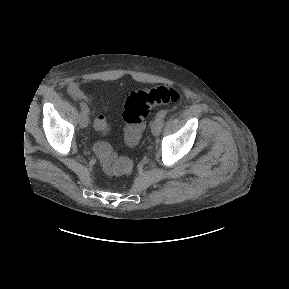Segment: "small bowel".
I'll return each mask as SVG.
<instances>
[{
    "instance_id": "1",
    "label": "small bowel",
    "mask_w": 289,
    "mask_h": 289,
    "mask_svg": "<svg viewBox=\"0 0 289 289\" xmlns=\"http://www.w3.org/2000/svg\"><path fill=\"white\" fill-rule=\"evenodd\" d=\"M67 92L68 94L74 98V99H77V100H83V101H86L88 100L87 96L85 95V93L79 88V86L72 82L68 85L67 87Z\"/></svg>"
}]
</instances>
